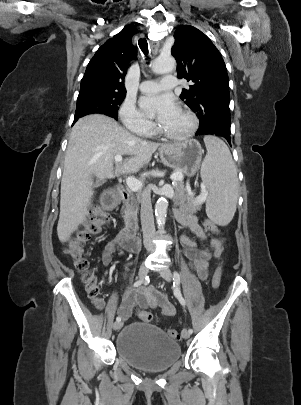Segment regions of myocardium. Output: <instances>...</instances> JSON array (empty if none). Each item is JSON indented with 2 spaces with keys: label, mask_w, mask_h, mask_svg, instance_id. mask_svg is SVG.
<instances>
[{
  "label": "myocardium",
  "mask_w": 301,
  "mask_h": 405,
  "mask_svg": "<svg viewBox=\"0 0 301 405\" xmlns=\"http://www.w3.org/2000/svg\"><path fill=\"white\" fill-rule=\"evenodd\" d=\"M181 112L190 121L189 128L185 132L180 133V134L169 133V132L163 130L160 126H158L157 127L158 134H160L161 136H163L169 140H173V141H182V140H186V139H189L190 137H192L196 133V131L199 127L198 117L196 116V114L194 112H192L189 109H182Z\"/></svg>",
  "instance_id": "f54148a6"
}]
</instances>
